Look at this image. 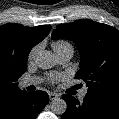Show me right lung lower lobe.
Wrapping results in <instances>:
<instances>
[{"mask_svg": "<svg viewBox=\"0 0 119 119\" xmlns=\"http://www.w3.org/2000/svg\"><path fill=\"white\" fill-rule=\"evenodd\" d=\"M48 102L44 91L25 92L8 106L0 119H35Z\"/></svg>", "mask_w": 119, "mask_h": 119, "instance_id": "right-lung-lower-lobe-1", "label": "right lung lower lobe"}]
</instances>
